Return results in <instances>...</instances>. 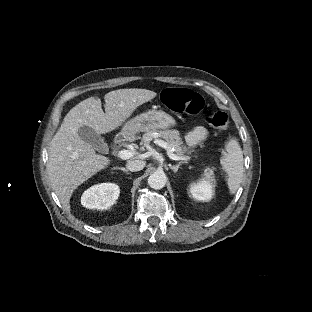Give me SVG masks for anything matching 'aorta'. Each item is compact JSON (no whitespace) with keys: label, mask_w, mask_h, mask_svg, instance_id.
Returning <instances> with one entry per match:
<instances>
[{"label":"aorta","mask_w":312,"mask_h":312,"mask_svg":"<svg viewBox=\"0 0 312 312\" xmlns=\"http://www.w3.org/2000/svg\"><path fill=\"white\" fill-rule=\"evenodd\" d=\"M166 179V175L163 172H156L148 177L147 183L150 188L158 190L165 186Z\"/></svg>","instance_id":"obj_1"}]
</instances>
